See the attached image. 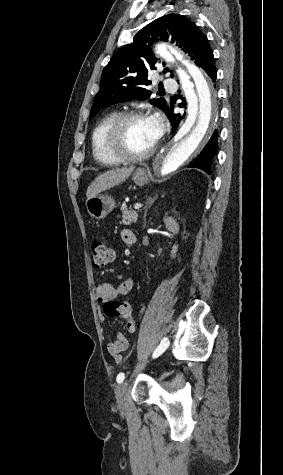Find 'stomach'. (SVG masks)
Masks as SVG:
<instances>
[{"label":"stomach","mask_w":283,"mask_h":475,"mask_svg":"<svg viewBox=\"0 0 283 475\" xmlns=\"http://www.w3.org/2000/svg\"><path fill=\"white\" fill-rule=\"evenodd\" d=\"M152 176L149 170L146 168H137L135 170L132 180L137 184V186H144V184H148L150 182ZM115 206V200L111 198V196H95V198H87L86 200V208L88 214L95 218V220H102L105 218L107 214L112 212Z\"/></svg>","instance_id":"1"}]
</instances>
